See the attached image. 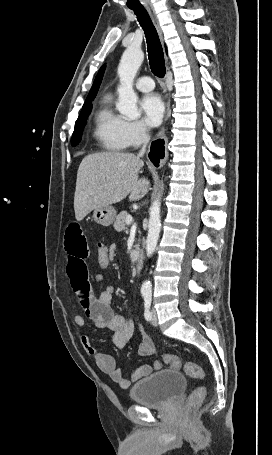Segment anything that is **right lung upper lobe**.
I'll return each mask as SVG.
<instances>
[{
    "label": "right lung upper lobe",
    "instance_id": "1",
    "mask_svg": "<svg viewBox=\"0 0 272 455\" xmlns=\"http://www.w3.org/2000/svg\"><path fill=\"white\" fill-rule=\"evenodd\" d=\"M104 71H105V65H103L100 68V70H99V72H98V74H97V76L95 78V81H94V83L92 85V88H91V90H90L85 102L92 101L95 98V96H96V94L98 92V89L100 87V84H101V81H102V78H103V75H104Z\"/></svg>",
    "mask_w": 272,
    "mask_h": 455
}]
</instances>
